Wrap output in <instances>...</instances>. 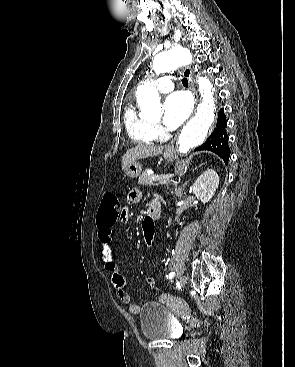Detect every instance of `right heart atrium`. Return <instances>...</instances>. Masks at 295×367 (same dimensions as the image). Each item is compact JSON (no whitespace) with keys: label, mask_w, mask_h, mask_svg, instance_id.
I'll return each mask as SVG.
<instances>
[{"label":"right heart atrium","mask_w":295,"mask_h":367,"mask_svg":"<svg viewBox=\"0 0 295 367\" xmlns=\"http://www.w3.org/2000/svg\"><path fill=\"white\" fill-rule=\"evenodd\" d=\"M154 130H155V133H156V135H157L158 137L163 136V134H164V130L162 129V127H161V126H159V125H155V126H154Z\"/></svg>","instance_id":"right-heart-atrium-1"}]
</instances>
